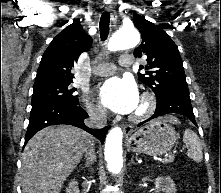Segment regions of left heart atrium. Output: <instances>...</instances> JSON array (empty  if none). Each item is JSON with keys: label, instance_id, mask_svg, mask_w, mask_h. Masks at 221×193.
<instances>
[{"label": "left heart atrium", "instance_id": "39dd6f15", "mask_svg": "<svg viewBox=\"0 0 221 193\" xmlns=\"http://www.w3.org/2000/svg\"><path fill=\"white\" fill-rule=\"evenodd\" d=\"M100 102L118 114H129L139 104V93L135 82L126 77L108 79L99 90Z\"/></svg>", "mask_w": 221, "mask_h": 193}]
</instances>
